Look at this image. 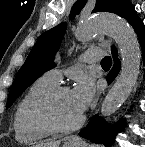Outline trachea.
<instances>
[{
  "instance_id": "trachea-1",
  "label": "trachea",
  "mask_w": 145,
  "mask_h": 147,
  "mask_svg": "<svg viewBox=\"0 0 145 147\" xmlns=\"http://www.w3.org/2000/svg\"><path fill=\"white\" fill-rule=\"evenodd\" d=\"M111 63H112V60H111L110 56L104 57L101 61L102 66H109V65H111Z\"/></svg>"
}]
</instances>
